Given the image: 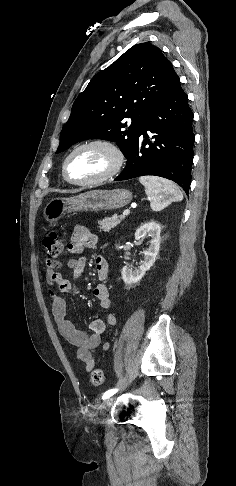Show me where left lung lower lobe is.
I'll return each mask as SVG.
<instances>
[{
  "mask_svg": "<svg viewBox=\"0 0 236 486\" xmlns=\"http://www.w3.org/2000/svg\"><path fill=\"white\" fill-rule=\"evenodd\" d=\"M193 112L180 80L162 98L145 121L136 139L126 167L115 181L143 175L170 179L188 194L193 161ZM147 131L153 133L150 141Z\"/></svg>",
  "mask_w": 236,
  "mask_h": 486,
  "instance_id": "left-lung-lower-lobe-1",
  "label": "left lung lower lobe"
}]
</instances>
